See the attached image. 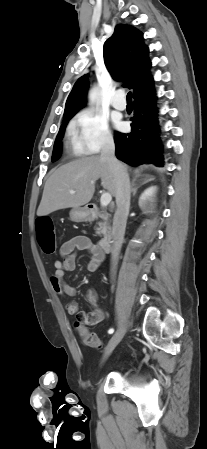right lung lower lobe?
<instances>
[{
	"instance_id": "obj_1",
	"label": "right lung lower lobe",
	"mask_w": 207,
	"mask_h": 449,
	"mask_svg": "<svg viewBox=\"0 0 207 449\" xmlns=\"http://www.w3.org/2000/svg\"><path fill=\"white\" fill-rule=\"evenodd\" d=\"M153 87L134 96V116L130 119L131 132H115L118 159L138 166L144 163L163 165V145L158 128V111Z\"/></svg>"
}]
</instances>
